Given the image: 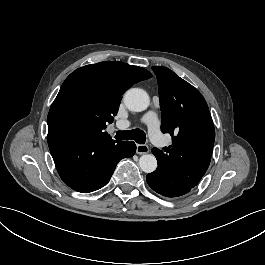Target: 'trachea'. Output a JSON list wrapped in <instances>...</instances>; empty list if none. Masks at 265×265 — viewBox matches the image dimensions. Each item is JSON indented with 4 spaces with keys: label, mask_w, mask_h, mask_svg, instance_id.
<instances>
[{
    "label": "trachea",
    "mask_w": 265,
    "mask_h": 265,
    "mask_svg": "<svg viewBox=\"0 0 265 265\" xmlns=\"http://www.w3.org/2000/svg\"><path fill=\"white\" fill-rule=\"evenodd\" d=\"M115 138L122 140H135V142L139 144H144L146 141V135L144 131L140 129L117 131Z\"/></svg>",
    "instance_id": "obj_1"
}]
</instances>
